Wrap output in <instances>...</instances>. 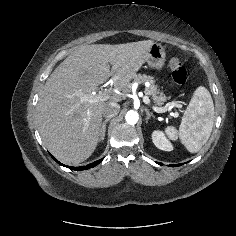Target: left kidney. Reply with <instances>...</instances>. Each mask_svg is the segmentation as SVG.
I'll list each match as a JSON object with an SVG mask.
<instances>
[{
    "mask_svg": "<svg viewBox=\"0 0 236 236\" xmlns=\"http://www.w3.org/2000/svg\"><path fill=\"white\" fill-rule=\"evenodd\" d=\"M152 141L155 146L164 151L173 150L172 144L166 139L161 131H154L152 134Z\"/></svg>",
    "mask_w": 236,
    "mask_h": 236,
    "instance_id": "obj_1",
    "label": "left kidney"
}]
</instances>
